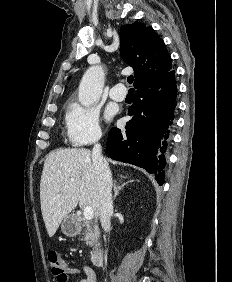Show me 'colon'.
Returning <instances> with one entry per match:
<instances>
[{"label": "colon", "mask_w": 232, "mask_h": 282, "mask_svg": "<svg viewBox=\"0 0 232 282\" xmlns=\"http://www.w3.org/2000/svg\"><path fill=\"white\" fill-rule=\"evenodd\" d=\"M47 257L52 274L57 279H64L66 276L65 265L59 254L54 250H50Z\"/></svg>", "instance_id": "obj_1"}]
</instances>
